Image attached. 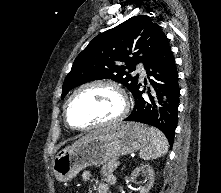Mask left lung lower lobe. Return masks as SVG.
<instances>
[{
  "label": "left lung lower lobe",
  "mask_w": 221,
  "mask_h": 193,
  "mask_svg": "<svg viewBox=\"0 0 221 193\" xmlns=\"http://www.w3.org/2000/svg\"><path fill=\"white\" fill-rule=\"evenodd\" d=\"M144 68L148 78L152 76L149 79L151 89L147 88L148 97H143L145 91L139 90L141 84L137 85L132 92L135 106L125 121H136L160 129L172 146L178 121L180 88L175 59L168 41ZM164 96L166 101L163 100Z\"/></svg>",
  "instance_id": "obj_1"
}]
</instances>
